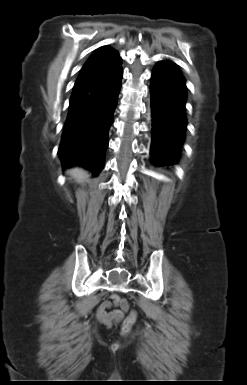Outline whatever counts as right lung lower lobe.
<instances>
[{"label": "right lung lower lobe", "instance_id": "obj_1", "mask_svg": "<svg viewBox=\"0 0 247 385\" xmlns=\"http://www.w3.org/2000/svg\"><path fill=\"white\" fill-rule=\"evenodd\" d=\"M121 79L119 62L75 82L58 151L64 167L102 170Z\"/></svg>", "mask_w": 247, "mask_h": 385}]
</instances>
